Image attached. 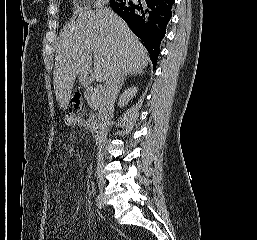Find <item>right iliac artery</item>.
<instances>
[{
  "mask_svg": "<svg viewBox=\"0 0 257 240\" xmlns=\"http://www.w3.org/2000/svg\"><path fill=\"white\" fill-rule=\"evenodd\" d=\"M96 205L99 209H102V207H103V200H102V196L100 194H98L96 197Z\"/></svg>",
  "mask_w": 257,
  "mask_h": 240,
  "instance_id": "1",
  "label": "right iliac artery"
}]
</instances>
